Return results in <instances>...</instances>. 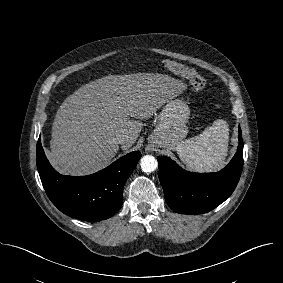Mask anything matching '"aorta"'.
<instances>
[{
  "instance_id": "1",
  "label": "aorta",
  "mask_w": 283,
  "mask_h": 283,
  "mask_svg": "<svg viewBox=\"0 0 283 283\" xmlns=\"http://www.w3.org/2000/svg\"><path fill=\"white\" fill-rule=\"evenodd\" d=\"M140 166H141L142 171L146 173H150L157 169L158 162L154 156L145 155L141 158Z\"/></svg>"
}]
</instances>
